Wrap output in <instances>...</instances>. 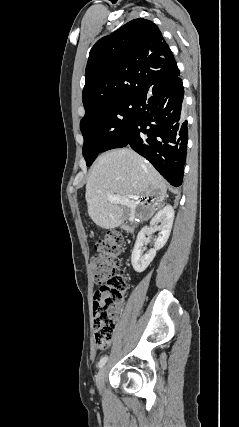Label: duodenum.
Listing matches in <instances>:
<instances>
[{"instance_id": "obj_1", "label": "duodenum", "mask_w": 239, "mask_h": 427, "mask_svg": "<svg viewBox=\"0 0 239 427\" xmlns=\"http://www.w3.org/2000/svg\"><path fill=\"white\" fill-rule=\"evenodd\" d=\"M126 230L128 233H132V231H133L131 228H126Z\"/></svg>"}]
</instances>
